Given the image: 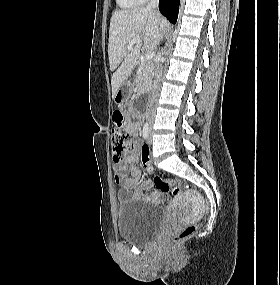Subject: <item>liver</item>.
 <instances>
[{
  "label": "liver",
  "instance_id": "6515ba94",
  "mask_svg": "<svg viewBox=\"0 0 280 285\" xmlns=\"http://www.w3.org/2000/svg\"><path fill=\"white\" fill-rule=\"evenodd\" d=\"M169 28L168 21L157 11L137 7L115 11L109 28L108 56L111 71L112 97L137 65L140 51H153ZM135 37L140 41L132 50L127 45Z\"/></svg>",
  "mask_w": 280,
  "mask_h": 285
}]
</instances>
